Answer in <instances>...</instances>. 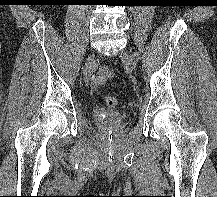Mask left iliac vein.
Wrapping results in <instances>:
<instances>
[{
  "mask_svg": "<svg viewBox=\"0 0 217 197\" xmlns=\"http://www.w3.org/2000/svg\"><path fill=\"white\" fill-rule=\"evenodd\" d=\"M120 57H121L122 61H123L126 65H128V66H130V67L133 66V60H132V58H131L127 53L122 52L121 55H120Z\"/></svg>",
  "mask_w": 217,
  "mask_h": 197,
  "instance_id": "left-iliac-vein-1",
  "label": "left iliac vein"
}]
</instances>
